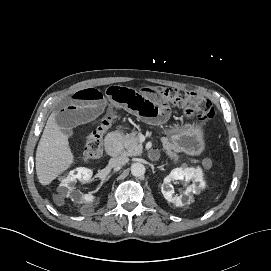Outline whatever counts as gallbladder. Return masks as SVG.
<instances>
[{
    "instance_id": "1",
    "label": "gallbladder",
    "mask_w": 271,
    "mask_h": 271,
    "mask_svg": "<svg viewBox=\"0 0 271 271\" xmlns=\"http://www.w3.org/2000/svg\"><path fill=\"white\" fill-rule=\"evenodd\" d=\"M64 134L67 135L68 137H71L73 135V131L70 128H65L63 130Z\"/></svg>"
}]
</instances>
